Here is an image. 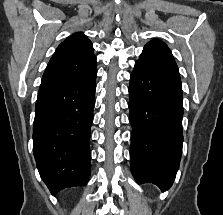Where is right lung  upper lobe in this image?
<instances>
[{
	"label": "right lung upper lobe",
	"mask_w": 223,
	"mask_h": 215,
	"mask_svg": "<svg viewBox=\"0 0 223 215\" xmlns=\"http://www.w3.org/2000/svg\"><path fill=\"white\" fill-rule=\"evenodd\" d=\"M96 68L91 41L82 33L66 38L56 49L42 77L39 90L78 80Z\"/></svg>",
	"instance_id": "obj_1"
}]
</instances>
